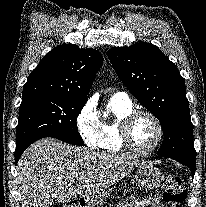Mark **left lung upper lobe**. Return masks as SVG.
Returning <instances> with one entry per match:
<instances>
[{"instance_id":"5c2ea615","label":"left lung upper lobe","mask_w":206,"mask_h":207,"mask_svg":"<svg viewBox=\"0 0 206 207\" xmlns=\"http://www.w3.org/2000/svg\"><path fill=\"white\" fill-rule=\"evenodd\" d=\"M107 55L120 80L160 121L164 140L157 155L195 162L185 81L175 64L157 46L145 42L111 48Z\"/></svg>"}]
</instances>
